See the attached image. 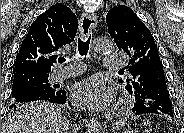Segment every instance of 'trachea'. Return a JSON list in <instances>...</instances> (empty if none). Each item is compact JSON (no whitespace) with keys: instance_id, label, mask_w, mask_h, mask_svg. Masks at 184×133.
<instances>
[{"instance_id":"3493384b","label":"trachea","mask_w":184,"mask_h":133,"mask_svg":"<svg viewBox=\"0 0 184 133\" xmlns=\"http://www.w3.org/2000/svg\"><path fill=\"white\" fill-rule=\"evenodd\" d=\"M90 39H91V36L88 37L86 40L78 38V51L80 56H86L88 54ZM65 61L66 59L64 57L58 58L59 63H63Z\"/></svg>"}]
</instances>
